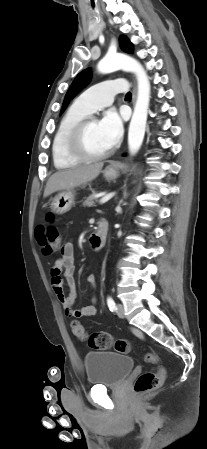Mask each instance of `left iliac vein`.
Here are the masks:
<instances>
[{
    "label": "left iliac vein",
    "instance_id": "1",
    "mask_svg": "<svg viewBox=\"0 0 207 449\" xmlns=\"http://www.w3.org/2000/svg\"><path fill=\"white\" fill-rule=\"evenodd\" d=\"M117 315H118L120 318H124V317H125V314H124V307H123L122 304H118V305H117Z\"/></svg>",
    "mask_w": 207,
    "mask_h": 449
}]
</instances>
